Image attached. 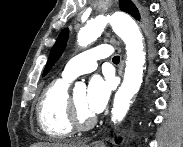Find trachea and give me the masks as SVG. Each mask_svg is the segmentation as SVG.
I'll use <instances>...</instances> for the list:
<instances>
[{
    "mask_svg": "<svg viewBox=\"0 0 183 147\" xmlns=\"http://www.w3.org/2000/svg\"><path fill=\"white\" fill-rule=\"evenodd\" d=\"M112 61L114 63H119L120 62V57L119 56H114L113 59H112Z\"/></svg>",
    "mask_w": 183,
    "mask_h": 147,
    "instance_id": "1",
    "label": "trachea"
}]
</instances>
